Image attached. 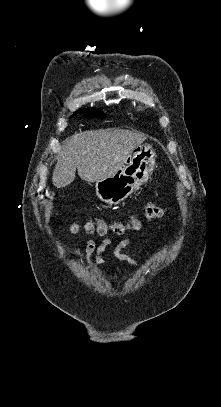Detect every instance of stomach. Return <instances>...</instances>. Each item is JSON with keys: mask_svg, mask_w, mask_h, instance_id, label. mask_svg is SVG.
<instances>
[{"mask_svg": "<svg viewBox=\"0 0 221 407\" xmlns=\"http://www.w3.org/2000/svg\"><path fill=\"white\" fill-rule=\"evenodd\" d=\"M156 157L153 145L149 143L136 145L113 175L96 181L95 190L98 198L110 205L124 201L148 181L153 173Z\"/></svg>", "mask_w": 221, "mask_h": 407, "instance_id": "stomach-1", "label": "stomach"}]
</instances>
